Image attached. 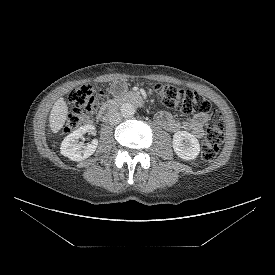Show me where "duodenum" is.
I'll return each mask as SVG.
<instances>
[{"label":"duodenum","instance_id":"410a0bca","mask_svg":"<svg viewBox=\"0 0 275 275\" xmlns=\"http://www.w3.org/2000/svg\"><path fill=\"white\" fill-rule=\"evenodd\" d=\"M125 103H131L136 106L143 104L142 97L135 92H128L122 94L110 101H108L100 110L98 118L101 122H106L118 109V107Z\"/></svg>","mask_w":275,"mask_h":275}]
</instances>
